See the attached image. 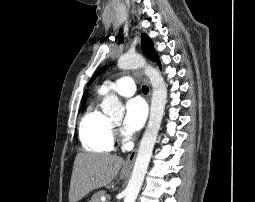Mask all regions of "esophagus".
I'll use <instances>...</instances> for the list:
<instances>
[{
	"mask_svg": "<svg viewBox=\"0 0 255 202\" xmlns=\"http://www.w3.org/2000/svg\"><path fill=\"white\" fill-rule=\"evenodd\" d=\"M136 153H137V147L134 150H132L127 156V159L125 162V168H132L135 161Z\"/></svg>",
	"mask_w": 255,
	"mask_h": 202,
	"instance_id": "esophagus-1",
	"label": "esophagus"
}]
</instances>
